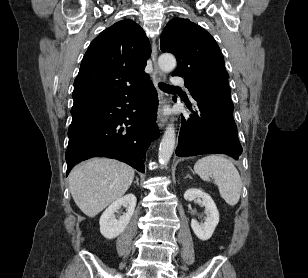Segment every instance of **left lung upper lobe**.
<instances>
[{
	"instance_id": "5c2ea615",
	"label": "left lung upper lobe",
	"mask_w": 308,
	"mask_h": 278,
	"mask_svg": "<svg viewBox=\"0 0 308 278\" xmlns=\"http://www.w3.org/2000/svg\"><path fill=\"white\" fill-rule=\"evenodd\" d=\"M160 48L176 57L178 66L173 76L183 77L190 93L229 79L224 57L214 38L188 19L174 18L168 22L161 35Z\"/></svg>"
}]
</instances>
